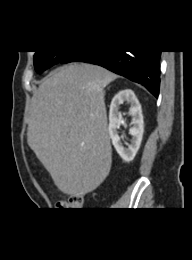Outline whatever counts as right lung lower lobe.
I'll use <instances>...</instances> for the list:
<instances>
[{
	"label": "right lung lower lobe",
	"mask_w": 192,
	"mask_h": 260,
	"mask_svg": "<svg viewBox=\"0 0 192 260\" xmlns=\"http://www.w3.org/2000/svg\"><path fill=\"white\" fill-rule=\"evenodd\" d=\"M161 51H74L61 63L87 62L103 66L145 86L155 97L159 95Z\"/></svg>",
	"instance_id": "1"
}]
</instances>
